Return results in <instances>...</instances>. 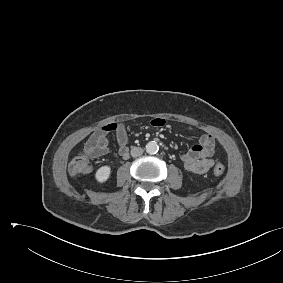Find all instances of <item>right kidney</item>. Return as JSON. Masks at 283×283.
Here are the masks:
<instances>
[{
    "mask_svg": "<svg viewBox=\"0 0 283 283\" xmlns=\"http://www.w3.org/2000/svg\"><path fill=\"white\" fill-rule=\"evenodd\" d=\"M110 174H111L110 166H102L96 171L95 178L99 183H103L108 180Z\"/></svg>",
    "mask_w": 283,
    "mask_h": 283,
    "instance_id": "ca27d5eb",
    "label": "right kidney"
}]
</instances>
